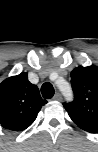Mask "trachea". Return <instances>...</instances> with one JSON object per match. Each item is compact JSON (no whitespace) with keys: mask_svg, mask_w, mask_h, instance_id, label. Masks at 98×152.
Listing matches in <instances>:
<instances>
[{"mask_svg":"<svg viewBox=\"0 0 98 152\" xmlns=\"http://www.w3.org/2000/svg\"><path fill=\"white\" fill-rule=\"evenodd\" d=\"M54 92V87L49 82H46L41 86V93L43 98H52L54 96Z\"/></svg>","mask_w":98,"mask_h":152,"instance_id":"1","label":"trachea"}]
</instances>
